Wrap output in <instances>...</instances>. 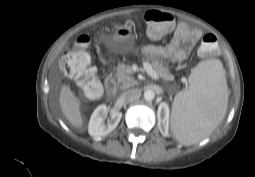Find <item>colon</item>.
<instances>
[{"mask_svg": "<svg viewBox=\"0 0 255 177\" xmlns=\"http://www.w3.org/2000/svg\"><path fill=\"white\" fill-rule=\"evenodd\" d=\"M144 20L147 33L152 39H160L174 26V17L167 12L149 10L145 13ZM217 38L213 34L204 36L200 43L199 51L202 54H210L217 49ZM90 39L82 35L76 39L71 48L60 60V69L69 77L76 80L78 87L90 98H96L102 91L97 71L92 66L88 52Z\"/></svg>", "mask_w": 255, "mask_h": 177, "instance_id": "colon-1", "label": "colon"}]
</instances>
